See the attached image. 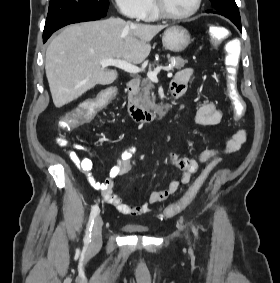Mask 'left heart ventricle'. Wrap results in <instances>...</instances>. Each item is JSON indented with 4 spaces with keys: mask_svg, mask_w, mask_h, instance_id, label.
Listing matches in <instances>:
<instances>
[{
    "mask_svg": "<svg viewBox=\"0 0 280 283\" xmlns=\"http://www.w3.org/2000/svg\"><path fill=\"white\" fill-rule=\"evenodd\" d=\"M164 8L173 14H184L190 11L195 0H161Z\"/></svg>",
    "mask_w": 280,
    "mask_h": 283,
    "instance_id": "b2bd125f",
    "label": "left heart ventricle"
}]
</instances>
